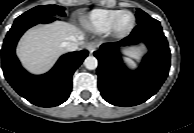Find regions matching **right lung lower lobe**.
Listing matches in <instances>:
<instances>
[{"instance_id":"right-lung-lower-lobe-1","label":"right lung lower lobe","mask_w":194,"mask_h":133,"mask_svg":"<svg viewBox=\"0 0 194 133\" xmlns=\"http://www.w3.org/2000/svg\"><path fill=\"white\" fill-rule=\"evenodd\" d=\"M55 17L15 21L2 46V69L13 89L26 100L40 107H54L65 102L72 90V75L87 57L88 51L71 52L60 57L55 66L44 75H31L20 65L15 55L19 38L38 23H49Z\"/></svg>"}]
</instances>
